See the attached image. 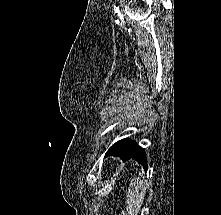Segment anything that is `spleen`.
Wrapping results in <instances>:
<instances>
[{
	"instance_id": "spleen-1",
	"label": "spleen",
	"mask_w": 221,
	"mask_h": 215,
	"mask_svg": "<svg viewBox=\"0 0 221 215\" xmlns=\"http://www.w3.org/2000/svg\"><path fill=\"white\" fill-rule=\"evenodd\" d=\"M145 175L141 174V178H134L127 193V211L131 215H137L143 204L146 193Z\"/></svg>"
}]
</instances>
